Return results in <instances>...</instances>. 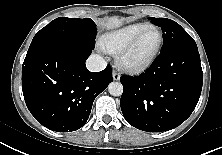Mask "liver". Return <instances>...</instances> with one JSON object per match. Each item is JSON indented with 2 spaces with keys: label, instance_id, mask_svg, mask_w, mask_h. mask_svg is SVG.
<instances>
[{
  "label": "liver",
  "instance_id": "obj_1",
  "mask_svg": "<svg viewBox=\"0 0 222 155\" xmlns=\"http://www.w3.org/2000/svg\"><path fill=\"white\" fill-rule=\"evenodd\" d=\"M126 21L125 18H120L118 16H113L110 18H104L98 20V24L107 29H113L120 27Z\"/></svg>",
  "mask_w": 222,
  "mask_h": 155
}]
</instances>
